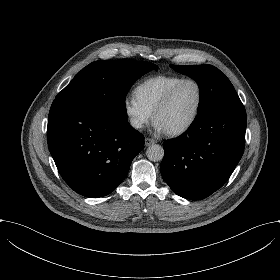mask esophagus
<instances>
[{
	"mask_svg": "<svg viewBox=\"0 0 280 280\" xmlns=\"http://www.w3.org/2000/svg\"><path fill=\"white\" fill-rule=\"evenodd\" d=\"M155 142L156 141L152 138H148V137L145 138V146H150V145L154 144Z\"/></svg>",
	"mask_w": 280,
	"mask_h": 280,
	"instance_id": "obj_1",
	"label": "esophagus"
}]
</instances>
